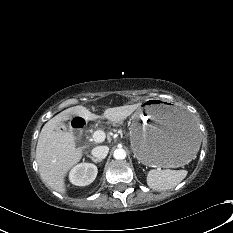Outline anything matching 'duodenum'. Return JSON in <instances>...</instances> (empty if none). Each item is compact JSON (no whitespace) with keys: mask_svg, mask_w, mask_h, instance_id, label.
Segmentation results:
<instances>
[{"mask_svg":"<svg viewBox=\"0 0 233 233\" xmlns=\"http://www.w3.org/2000/svg\"><path fill=\"white\" fill-rule=\"evenodd\" d=\"M88 121V113L83 109H78L72 115L70 128L74 133L81 134L86 130Z\"/></svg>","mask_w":233,"mask_h":233,"instance_id":"duodenum-1","label":"duodenum"}]
</instances>
